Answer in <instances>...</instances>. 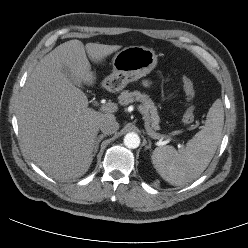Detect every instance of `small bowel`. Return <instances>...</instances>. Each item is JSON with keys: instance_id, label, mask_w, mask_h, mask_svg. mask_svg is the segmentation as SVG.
<instances>
[{"instance_id": "c3829d8e", "label": "small bowel", "mask_w": 248, "mask_h": 248, "mask_svg": "<svg viewBox=\"0 0 248 248\" xmlns=\"http://www.w3.org/2000/svg\"><path fill=\"white\" fill-rule=\"evenodd\" d=\"M143 85H144L145 87H149V86L151 85V82H150L149 80H144V81H143Z\"/></svg>"}]
</instances>
